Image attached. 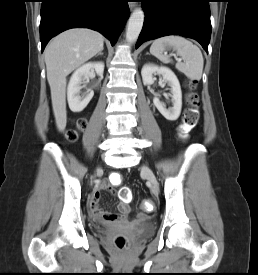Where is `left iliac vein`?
<instances>
[{
  "instance_id": "obj_1",
  "label": "left iliac vein",
  "mask_w": 258,
  "mask_h": 275,
  "mask_svg": "<svg viewBox=\"0 0 258 275\" xmlns=\"http://www.w3.org/2000/svg\"><path fill=\"white\" fill-rule=\"evenodd\" d=\"M142 172L147 177L148 181L151 183L153 191L155 193H158L159 192L158 182L154 173L151 171V169L147 166H143Z\"/></svg>"
}]
</instances>
